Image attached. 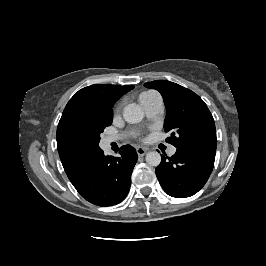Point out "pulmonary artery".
I'll list each match as a JSON object with an SVG mask.
<instances>
[{
    "label": "pulmonary artery",
    "mask_w": 266,
    "mask_h": 266,
    "mask_svg": "<svg viewBox=\"0 0 266 266\" xmlns=\"http://www.w3.org/2000/svg\"><path fill=\"white\" fill-rule=\"evenodd\" d=\"M140 104L148 118H156L163 108V99L157 92L145 93L140 96ZM118 137H107L106 143L110 144L118 140ZM176 152L175 146H170L168 149L169 155H174Z\"/></svg>",
    "instance_id": "e3ab8cb5"
}]
</instances>
